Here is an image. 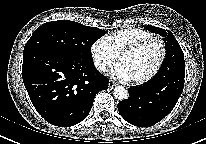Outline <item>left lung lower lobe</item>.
I'll use <instances>...</instances> for the list:
<instances>
[{"instance_id":"left-lung-lower-lobe-1","label":"left lung lower lobe","mask_w":206,"mask_h":144,"mask_svg":"<svg viewBox=\"0 0 206 144\" xmlns=\"http://www.w3.org/2000/svg\"><path fill=\"white\" fill-rule=\"evenodd\" d=\"M185 67L172 68L158 79L129 88V98L118 104L120 115L130 124L151 127L175 107L184 88Z\"/></svg>"}]
</instances>
